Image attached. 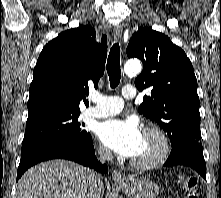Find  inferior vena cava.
I'll list each match as a JSON object with an SVG mask.
<instances>
[{"label":"inferior vena cava","instance_id":"inferior-vena-cava-1","mask_svg":"<svg viewBox=\"0 0 221 198\" xmlns=\"http://www.w3.org/2000/svg\"><path fill=\"white\" fill-rule=\"evenodd\" d=\"M98 155L101 161H110L112 160V152L105 148V147H99L98 149ZM89 185L91 189H96L99 185L102 184L101 177L95 172H90L88 175Z\"/></svg>","mask_w":221,"mask_h":198}]
</instances>
